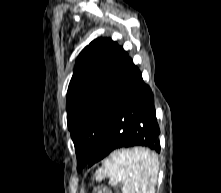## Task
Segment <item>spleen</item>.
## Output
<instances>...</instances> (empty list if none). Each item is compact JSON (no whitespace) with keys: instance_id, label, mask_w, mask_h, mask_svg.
<instances>
[{"instance_id":"3e777b00","label":"spleen","mask_w":221,"mask_h":193,"mask_svg":"<svg viewBox=\"0 0 221 193\" xmlns=\"http://www.w3.org/2000/svg\"><path fill=\"white\" fill-rule=\"evenodd\" d=\"M159 161L154 152L139 146L116 150L95 173L96 181L109 178V184H122V193H155Z\"/></svg>"}]
</instances>
